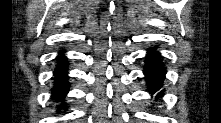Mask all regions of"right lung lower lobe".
<instances>
[{
	"mask_svg": "<svg viewBox=\"0 0 221 123\" xmlns=\"http://www.w3.org/2000/svg\"><path fill=\"white\" fill-rule=\"evenodd\" d=\"M60 56L57 57V65L54 70V86L52 89L53 98L63 102L65 95L68 93L70 83L67 81V67L68 63L64 56V51H60ZM60 109H67V105L64 103L59 106Z\"/></svg>",
	"mask_w": 221,
	"mask_h": 123,
	"instance_id": "1",
	"label": "right lung lower lobe"
}]
</instances>
